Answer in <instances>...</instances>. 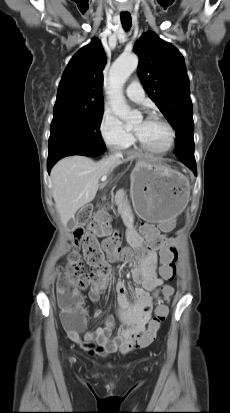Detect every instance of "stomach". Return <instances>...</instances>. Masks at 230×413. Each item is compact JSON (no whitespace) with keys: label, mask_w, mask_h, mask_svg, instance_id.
<instances>
[{"label":"stomach","mask_w":230,"mask_h":413,"mask_svg":"<svg viewBox=\"0 0 230 413\" xmlns=\"http://www.w3.org/2000/svg\"><path fill=\"white\" fill-rule=\"evenodd\" d=\"M190 189L185 175L154 158L138 161L131 173L133 208L140 218L151 223L175 219L185 209Z\"/></svg>","instance_id":"0dacf381"}]
</instances>
